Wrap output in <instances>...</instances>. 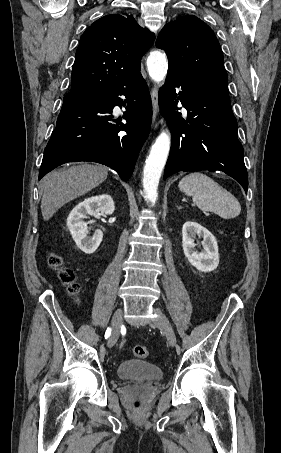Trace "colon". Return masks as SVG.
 I'll use <instances>...</instances> for the list:
<instances>
[{"instance_id": "1", "label": "colon", "mask_w": 281, "mask_h": 453, "mask_svg": "<svg viewBox=\"0 0 281 453\" xmlns=\"http://www.w3.org/2000/svg\"><path fill=\"white\" fill-rule=\"evenodd\" d=\"M49 267L54 269L58 273L60 281L69 285V289L73 293H77L79 290V283L77 282L76 273L73 269L63 266V258L57 253H50L47 258ZM133 354L137 358H148L150 356L149 349L146 346L135 345L132 348ZM135 407L140 406V402H135Z\"/></svg>"}]
</instances>
